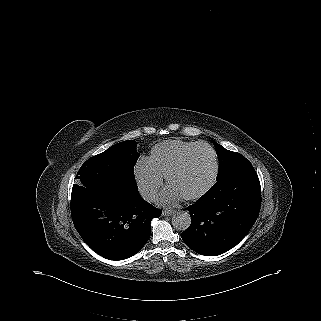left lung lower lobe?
I'll list each match as a JSON object with an SVG mask.
<instances>
[{"mask_svg":"<svg viewBox=\"0 0 321 321\" xmlns=\"http://www.w3.org/2000/svg\"><path fill=\"white\" fill-rule=\"evenodd\" d=\"M260 205V182L252 165L232 169L187 207L191 225L181 238L201 255L225 253L247 235L258 217Z\"/></svg>","mask_w":321,"mask_h":321,"instance_id":"1","label":"left lung lower lobe"}]
</instances>
